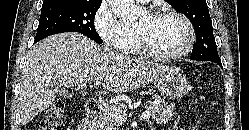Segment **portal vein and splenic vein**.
<instances>
[{
  "label": "portal vein and splenic vein",
  "instance_id": "18ae733b",
  "mask_svg": "<svg viewBox=\"0 0 249 130\" xmlns=\"http://www.w3.org/2000/svg\"><path fill=\"white\" fill-rule=\"evenodd\" d=\"M93 82L96 86H99L101 84L100 79L94 80ZM111 111H112V114L116 116L121 122L126 121V114L121 109L113 105V107L111 108ZM150 116H151V111L149 110L143 112L141 115V117L144 119L150 118Z\"/></svg>",
  "mask_w": 249,
  "mask_h": 130
}]
</instances>
